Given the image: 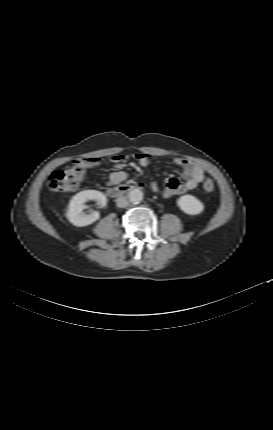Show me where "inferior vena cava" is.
<instances>
[{
    "mask_svg": "<svg viewBox=\"0 0 273 430\" xmlns=\"http://www.w3.org/2000/svg\"><path fill=\"white\" fill-rule=\"evenodd\" d=\"M117 206L120 208H125L128 206L129 202L126 196H120L116 200Z\"/></svg>",
    "mask_w": 273,
    "mask_h": 430,
    "instance_id": "obj_1",
    "label": "inferior vena cava"
}]
</instances>
